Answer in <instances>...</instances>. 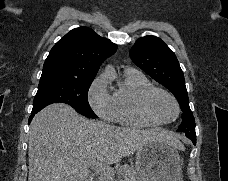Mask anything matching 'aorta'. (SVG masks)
I'll return each instance as SVG.
<instances>
[{"mask_svg":"<svg viewBox=\"0 0 228 181\" xmlns=\"http://www.w3.org/2000/svg\"><path fill=\"white\" fill-rule=\"evenodd\" d=\"M105 71L106 72H111V71H113V67L110 66V65H107L106 68H105Z\"/></svg>","mask_w":228,"mask_h":181,"instance_id":"762f6f07","label":"aorta"}]
</instances>
